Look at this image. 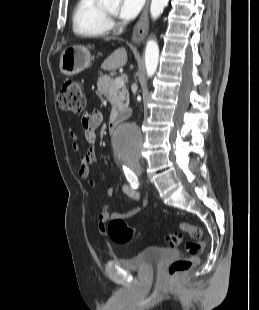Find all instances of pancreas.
Instances as JSON below:
<instances>
[{
	"label": "pancreas",
	"instance_id": "1",
	"mask_svg": "<svg viewBox=\"0 0 259 310\" xmlns=\"http://www.w3.org/2000/svg\"><path fill=\"white\" fill-rule=\"evenodd\" d=\"M100 94L104 95L112 104L110 122H116L127 117L129 105V94L126 88L118 89L114 86V81L108 76H101L97 81Z\"/></svg>",
	"mask_w": 259,
	"mask_h": 310
}]
</instances>
